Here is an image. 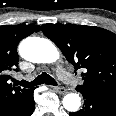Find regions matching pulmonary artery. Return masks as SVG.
I'll return each instance as SVG.
<instances>
[{
  "instance_id": "e3ab8cb5",
  "label": "pulmonary artery",
  "mask_w": 116,
  "mask_h": 116,
  "mask_svg": "<svg viewBox=\"0 0 116 116\" xmlns=\"http://www.w3.org/2000/svg\"><path fill=\"white\" fill-rule=\"evenodd\" d=\"M57 74L58 77L66 84L75 85L77 83L76 79H74V77L64 69H58Z\"/></svg>"
}]
</instances>
